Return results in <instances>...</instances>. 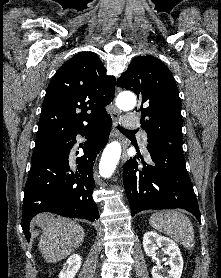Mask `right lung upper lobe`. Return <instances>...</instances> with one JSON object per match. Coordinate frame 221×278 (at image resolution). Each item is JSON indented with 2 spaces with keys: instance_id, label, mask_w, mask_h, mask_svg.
Masks as SVG:
<instances>
[{
  "instance_id": "1",
  "label": "right lung upper lobe",
  "mask_w": 221,
  "mask_h": 278,
  "mask_svg": "<svg viewBox=\"0 0 221 278\" xmlns=\"http://www.w3.org/2000/svg\"><path fill=\"white\" fill-rule=\"evenodd\" d=\"M116 79L94 52L66 61L51 79L43 101L35 148L55 143L109 117Z\"/></svg>"
}]
</instances>
